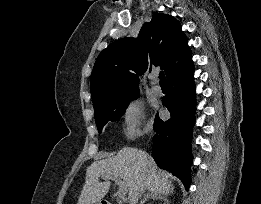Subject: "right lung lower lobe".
Listing matches in <instances>:
<instances>
[{
	"label": "right lung lower lobe",
	"instance_id": "obj_1",
	"mask_svg": "<svg viewBox=\"0 0 261 204\" xmlns=\"http://www.w3.org/2000/svg\"><path fill=\"white\" fill-rule=\"evenodd\" d=\"M192 60L168 78L169 94L162 100L171 113L163 122L158 115L154 122L153 155L157 165L180 178L188 190L190 186L191 130L194 124L195 86Z\"/></svg>",
	"mask_w": 261,
	"mask_h": 204
}]
</instances>
